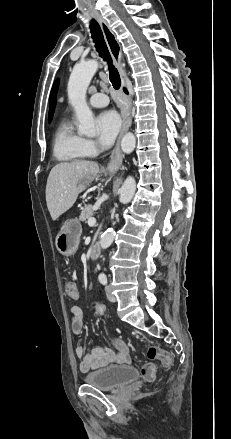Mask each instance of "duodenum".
I'll return each mask as SVG.
<instances>
[{"mask_svg":"<svg viewBox=\"0 0 231 439\" xmlns=\"http://www.w3.org/2000/svg\"><path fill=\"white\" fill-rule=\"evenodd\" d=\"M99 254H100L99 245L98 244L92 245V247L89 250V257L91 259H96V258H98Z\"/></svg>","mask_w":231,"mask_h":439,"instance_id":"1","label":"duodenum"}]
</instances>
